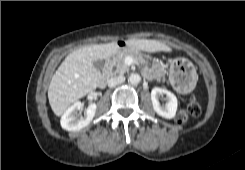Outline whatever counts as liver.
<instances>
[{
  "mask_svg": "<svg viewBox=\"0 0 245 170\" xmlns=\"http://www.w3.org/2000/svg\"><path fill=\"white\" fill-rule=\"evenodd\" d=\"M125 46L144 52L171 50L166 44L150 39H129L125 41ZM120 49L116 42H111L83 46L67 55L48 88L49 104L56 116H61L68 106L99 86L102 74L94 67V61L115 56Z\"/></svg>",
  "mask_w": 245,
  "mask_h": 170,
  "instance_id": "6515ba94",
  "label": "liver"
}]
</instances>
